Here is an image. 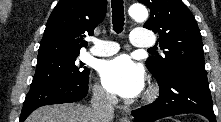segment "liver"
I'll list each match as a JSON object with an SVG mask.
<instances>
[{
	"mask_svg": "<svg viewBox=\"0 0 221 122\" xmlns=\"http://www.w3.org/2000/svg\"><path fill=\"white\" fill-rule=\"evenodd\" d=\"M92 110L78 103L43 106L32 112L26 122H93Z\"/></svg>",
	"mask_w": 221,
	"mask_h": 122,
	"instance_id": "1",
	"label": "liver"
}]
</instances>
